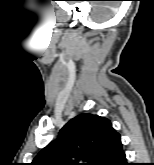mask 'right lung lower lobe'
<instances>
[{
	"mask_svg": "<svg viewBox=\"0 0 154 165\" xmlns=\"http://www.w3.org/2000/svg\"><path fill=\"white\" fill-rule=\"evenodd\" d=\"M96 165H129L122 150L119 134H117L108 144L106 151Z\"/></svg>",
	"mask_w": 154,
	"mask_h": 165,
	"instance_id": "1",
	"label": "right lung lower lobe"
}]
</instances>
